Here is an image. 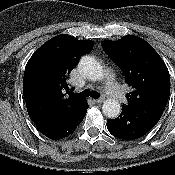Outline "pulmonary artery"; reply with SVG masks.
Segmentation results:
<instances>
[{
    "mask_svg": "<svg viewBox=\"0 0 175 175\" xmlns=\"http://www.w3.org/2000/svg\"><path fill=\"white\" fill-rule=\"evenodd\" d=\"M104 83L105 90L109 96L115 98L120 102L124 100V91L120 86L116 84L115 76L109 70L105 71L104 73Z\"/></svg>",
    "mask_w": 175,
    "mask_h": 175,
    "instance_id": "pulmonary-artery-1",
    "label": "pulmonary artery"
}]
</instances>
